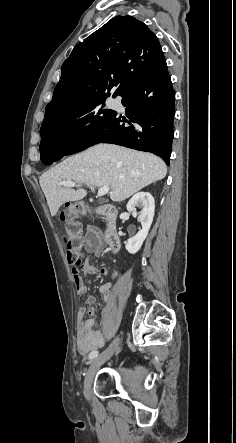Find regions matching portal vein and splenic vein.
Here are the masks:
<instances>
[{
    "mask_svg": "<svg viewBox=\"0 0 236 443\" xmlns=\"http://www.w3.org/2000/svg\"><path fill=\"white\" fill-rule=\"evenodd\" d=\"M59 185L60 186H64V187H68V188H72V187H75L76 182H74V181H61L59 183ZM87 186L90 187V189L92 191H94V188L92 186H90L89 184H87ZM109 190H110L109 186L101 187L98 190V197L104 196L105 194H107L109 192Z\"/></svg>",
    "mask_w": 236,
    "mask_h": 443,
    "instance_id": "obj_1",
    "label": "portal vein and splenic vein"
}]
</instances>
